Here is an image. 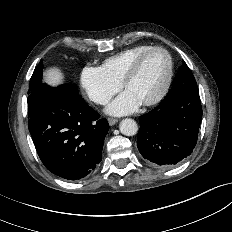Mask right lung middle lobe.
Segmentation results:
<instances>
[{"mask_svg":"<svg viewBox=\"0 0 232 232\" xmlns=\"http://www.w3.org/2000/svg\"><path fill=\"white\" fill-rule=\"evenodd\" d=\"M43 75V64L42 61L36 66L32 77L30 79L29 91H28V109L29 111L34 107L37 98L42 94V92L47 88L45 83H42ZM75 88L76 86L73 85Z\"/></svg>","mask_w":232,"mask_h":232,"instance_id":"dd1d6c3e","label":"right lung middle lobe"}]
</instances>
